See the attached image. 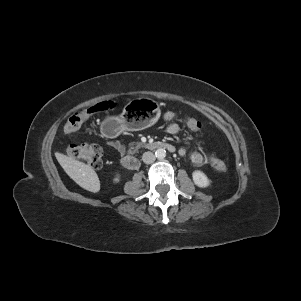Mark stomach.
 <instances>
[{
	"label": "stomach",
	"mask_w": 301,
	"mask_h": 301,
	"mask_svg": "<svg viewBox=\"0 0 301 301\" xmlns=\"http://www.w3.org/2000/svg\"><path fill=\"white\" fill-rule=\"evenodd\" d=\"M160 110L156 101L138 98L127 103L121 115L110 117L103 123L108 137H116L123 131H139L155 124Z\"/></svg>",
	"instance_id": "0dacf381"
}]
</instances>
